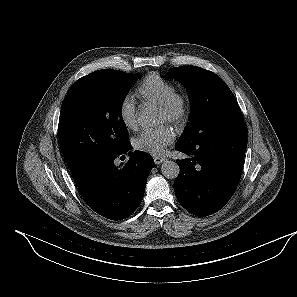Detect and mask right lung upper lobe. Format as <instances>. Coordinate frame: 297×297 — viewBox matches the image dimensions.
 I'll return each instance as SVG.
<instances>
[{
	"instance_id": "right-lung-upper-lobe-1",
	"label": "right lung upper lobe",
	"mask_w": 297,
	"mask_h": 297,
	"mask_svg": "<svg viewBox=\"0 0 297 297\" xmlns=\"http://www.w3.org/2000/svg\"><path fill=\"white\" fill-rule=\"evenodd\" d=\"M112 69H103V70H98L96 72L90 73L89 75H102L110 72ZM87 75V76H89Z\"/></svg>"
}]
</instances>
